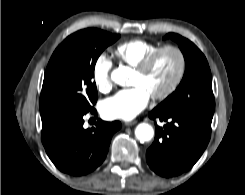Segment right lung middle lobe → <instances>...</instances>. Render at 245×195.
<instances>
[{"mask_svg": "<svg viewBox=\"0 0 245 195\" xmlns=\"http://www.w3.org/2000/svg\"><path fill=\"white\" fill-rule=\"evenodd\" d=\"M88 28L68 36L47 65L40 96L42 122L89 112L97 101L95 63L103 50L119 39Z\"/></svg>", "mask_w": 245, "mask_h": 195, "instance_id": "1", "label": "right lung middle lobe"}]
</instances>
